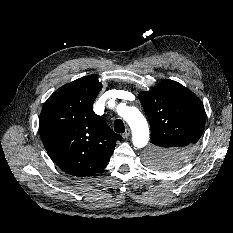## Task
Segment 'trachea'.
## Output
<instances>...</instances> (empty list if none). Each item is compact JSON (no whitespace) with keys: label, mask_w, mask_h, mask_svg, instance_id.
I'll return each mask as SVG.
<instances>
[{"label":"trachea","mask_w":233,"mask_h":233,"mask_svg":"<svg viewBox=\"0 0 233 233\" xmlns=\"http://www.w3.org/2000/svg\"><path fill=\"white\" fill-rule=\"evenodd\" d=\"M114 130L117 133H124L125 132V126L122 120L117 119L114 122Z\"/></svg>","instance_id":"trachea-1"}]
</instances>
